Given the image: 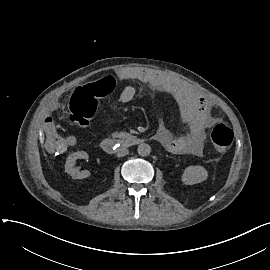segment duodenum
<instances>
[{"mask_svg":"<svg viewBox=\"0 0 270 270\" xmlns=\"http://www.w3.org/2000/svg\"><path fill=\"white\" fill-rule=\"evenodd\" d=\"M143 142L144 140L142 138L132 136V135H124L120 137H109L102 140L101 148L106 153H114L121 148L136 146Z\"/></svg>","mask_w":270,"mask_h":270,"instance_id":"duodenum-1","label":"duodenum"}]
</instances>
